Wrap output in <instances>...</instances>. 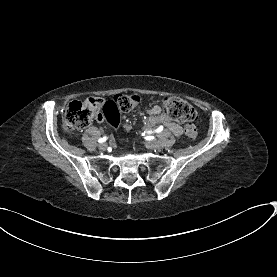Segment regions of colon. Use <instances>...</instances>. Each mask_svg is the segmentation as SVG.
Instances as JSON below:
<instances>
[{
	"mask_svg": "<svg viewBox=\"0 0 277 277\" xmlns=\"http://www.w3.org/2000/svg\"><path fill=\"white\" fill-rule=\"evenodd\" d=\"M114 98L118 101V108L122 112H128L138 104V100L133 95L119 94ZM165 112L172 118H176L186 123L184 134L188 139L196 140L198 133L194 126L197 114L195 109L180 97L169 96L164 99ZM102 103L100 97L94 94L91 100L86 103L73 101L70 103L66 113L65 122L71 132H78L87 127L95 119H104L100 113Z\"/></svg>",
	"mask_w": 277,
	"mask_h": 277,
	"instance_id": "1",
	"label": "colon"
}]
</instances>
